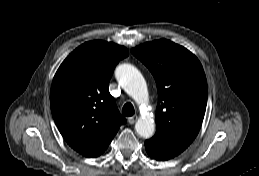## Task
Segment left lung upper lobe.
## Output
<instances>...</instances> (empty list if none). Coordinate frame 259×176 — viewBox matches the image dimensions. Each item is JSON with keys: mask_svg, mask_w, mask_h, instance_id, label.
Segmentation results:
<instances>
[{"mask_svg": "<svg viewBox=\"0 0 259 176\" xmlns=\"http://www.w3.org/2000/svg\"><path fill=\"white\" fill-rule=\"evenodd\" d=\"M153 74L158 89L156 133L145 141L147 153L168 160L183 152L197 136L206 110L207 81L199 60L166 39L131 50Z\"/></svg>", "mask_w": 259, "mask_h": 176, "instance_id": "left-lung-upper-lobe-1", "label": "left lung upper lobe"}]
</instances>
